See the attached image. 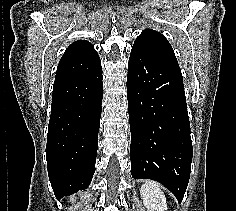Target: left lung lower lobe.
<instances>
[{
    "label": "left lung lower lobe",
    "instance_id": "0a47b994",
    "mask_svg": "<svg viewBox=\"0 0 236 211\" xmlns=\"http://www.w3.org/2000/svg\"><path fill=\"white\" fill-rule=\"evenodd\" d=\"M127 99L132 177L160 182L181 203L193 152L179 66L132 50Z\"/></svg>",
    "mask_w": 236,
    "mask_h": 211
}]
</instances>
